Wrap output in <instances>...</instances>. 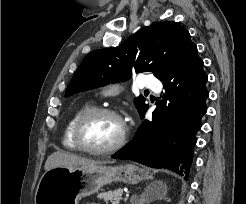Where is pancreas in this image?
Returning <instances> with one entry per match:
<instances>
[{
  "label": "pancreas",
  "mask_w": 246,
  "mask_h": 204,
  "mask_svg": "<svg viewBox=\"0 0 246 204\" xmlns=\"http://www.w3.org/2000/svg\"><path fill=\"white\" fill-rule=\"evenodd\" d=\"M123 190L122 189H117L115 191H108V192H103L98 195V199L109 202L113 201L116 199H119L122 196Z\"/></svg>",
  "instance_id": "1"
}]
</instances>
